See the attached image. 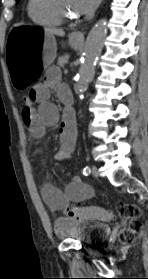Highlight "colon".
I'll return each instance as SVG.
<instances>
[{"instance_id": "obj_1", "label": "colon", "mask_w": 148, "mask_h": 279, "mask_svg": "<svg viewBox=\"0 0 148 279\" xmlns=\"http://www.w3.org/2000/svg\"><path fill=\"white\" fill-rule=\"evenodd\" d=\"M24 105L33 104V98L26 94L23 98ZM117 216L120 220L126 222V226L119 233V240L123 245L131 243L140 234L142 230L141 209L132 203H119L117 205ZM67 215L75 219H91V220H113V213L100 206H76L67 210ZM123 254H119L122 256Z\"/></svg>"}]
</instances>
